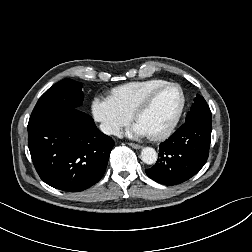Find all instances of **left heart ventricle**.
I'll return each instance as SVG.
<instances>
[{"instance_id":"obj_1","label":"left heart ventricle","mask_w":252,"mask_h":252,"mask_svg":"<svg viewBox=\"0 0 252 252\" xmlns=\"http://www.w3.org/2000/svg\"><path fill=\"white\" fill-rule=\"evenodd\" d=\"M181 104V93L176 87H168L157 94L148 109L141 113V122L151 134L165 130L173 121Z\"/></svg>"}]
</instances>
